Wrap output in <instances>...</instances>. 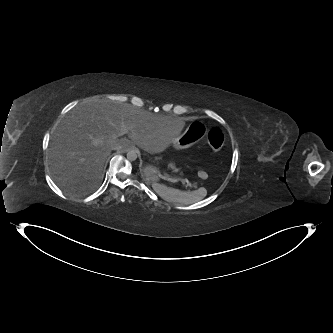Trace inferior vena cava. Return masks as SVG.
I'll list each match as a JSON object with an SVG mask.
<instances>
[{
  "label": "inferior vena cava",
  "mask_w": 333,
  "mask_h": 333,
  "mask_svg": "<svg viewBox=\"0 0 333 333\" xmlns=\"http://www.w3.org/2000/svg\"><path fill=\"white\" fill-rule=\"evenodd\" d=\"M121 146L120 145H114L112 147V150H120Z\"/></svg>",
  "instance_id": "obj_1"
}]
</instances>
